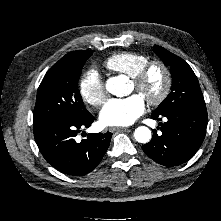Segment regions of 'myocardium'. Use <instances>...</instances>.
Returning <instances> with one entry per match:
<instances>
[{"label":"myocardium","instance_id":"myocardium-1","mask_svg":"<svg viewBox=\"0 0 221 221\" xmlns=\"http://www.w3.org/2000/svg\"><path fill=\"white\" fill-rule=\"evenodd\" d=\"M156 68L159 69L163 75V86L156 96H149L145 98L148 104L152 106L160 105L166 100L171 92L173 78L170 68L161 60H151L142 66L132 77V82L135 84L136 89L141 91L149 74Z\"/></svg>","mask_w":221,"mask_h":221}]
</instances>
